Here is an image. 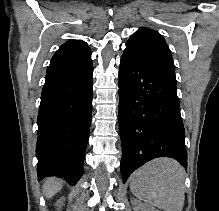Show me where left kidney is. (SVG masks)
<instances>
[{
	"mask_svg": "<svg viewBox=\"0 0 219 211\" xmlns=\"http://www.w3.org/2000/svg\"><path fill=\"white\" fill-rule=\"evenodd\" d=\"M136 211H139V209H136ZM141 211H158L156 207H145V209H141Z\"/></svg>",
	"mask_w": 219,
	"mask_h": 211,
	"instance_id": "obj_1",
	"label": "left kidney"
}]
</instances>
